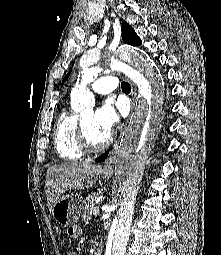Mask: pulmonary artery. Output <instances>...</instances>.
<instances>
[{
  "mask_svg": "<svg viewBox=\"0 0 221 255\" xmlns=\"http://www.w3.org/2000/svg\"><path fill=\"white\" fill-rule=\"evenodd\" d=\"M116 78L112 75L102 76L90 84V88L98 94H109L117 88Z\"/></svg>",
  "mask_w": 221,
  "mask_h": 255,
  "instance_id": "obj_1",
  "label": "pulmonary artery"
}]
</instances>
